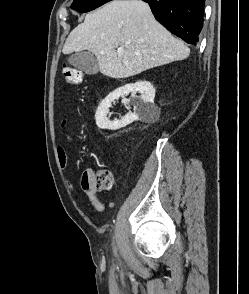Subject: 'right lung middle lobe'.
<instances>
[{"label": "right lung middle lobe", "mask_w": 249, "mask_h": 294, "mask_svg": "<svg viewBox=\"0 0 249 294\" xmlns=\"http://www.w3.org/2000/svg\"><path fill=\"white\" fill-rule=\"evenodd\" d=\"M111 0H74L71 8L79 12H89Z\"/></svg>", "instance_id": "1"}]
</instances>
